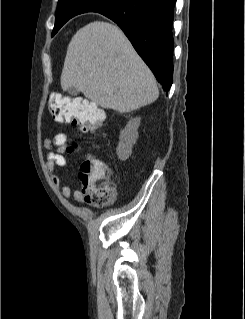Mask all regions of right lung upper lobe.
<instances>
[{
    "instance_id": "right-lung-upper-lobe-1",
    "label": "right lung upper lobe",
    "mask_w": 245,
    "mask_h": 319,
    "mask_svg": "<svg viewBox=\"0 0 245 319\" xmlns=\"http://www.w3.org/2000/svg\"><path fill=\"white\" fill-rule=\"evenodd\" d=\"M59 1H67L69 2V4L67 5V8H66L67 16L64 17L60 22H58L57 26H62L65 22H67L73 16H76L84 12H91V11H86L82 8L83 0H59Z\"/></svg>"
}]
</instances>
